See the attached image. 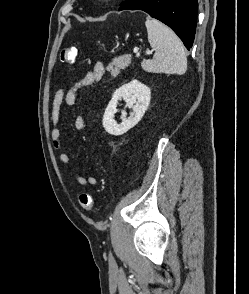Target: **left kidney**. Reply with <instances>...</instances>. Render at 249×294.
Returning a JSON list of instances; mask_svg holds the SVG:
<instances>
[{
	"instance_id": "1",
	"label": "left kidney",
	"mask_w": 249,
	"mask_h": 294,
	"mask_svg": "<svg viewBox=\"0 0 249 294\" xmlns=\"http://www.w3.org/2000/svg\"><path fill=\"white\" fill-rule=\"evenodd\" d=\"M123 99L126 106L132 108L133 112L129 118L122 112V123L117 124L114 115L117 113L118 101ZM151 99L150 88L138 80H132L118 88L110 100L104 116L103 127L111 135H122L133 128L145 114Z\"/></svg>"
}]
</instances>
